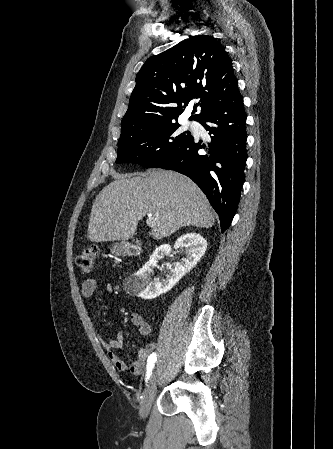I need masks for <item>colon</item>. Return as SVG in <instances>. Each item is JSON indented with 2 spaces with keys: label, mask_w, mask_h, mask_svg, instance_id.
I'll return each instance as SVG.
<instances>
[{
  "label": "colon",
  "mask_w": 333,
  "mask_h": 449,
  "mask_svg": "<svg viewBox=\"0 0 333 449\" xmlns=\"http://www.w3.org/2000/svg\"><path fill=\"white\" fill-rule=\"evenodd\" d=\"M99 255L97 247H88L80 253L76 258L77 266L83 271H90Z\"/></svg>",
  "instance_id": "5ec220e1"
}]
</instances>
